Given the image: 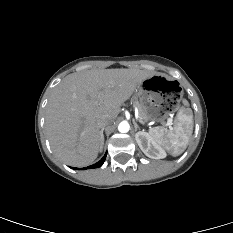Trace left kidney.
<instances>
[{"mask_svg":"<svg viewBox=\"0 0 233 233\" xmlns=\"http://www.w3.org/2000/svg\"><path fill=\"white\" fill-rule=\"evenodd\" d=\"M135 139L142 152L149 158L162 159L166 157L165 150L157 144L149 133L140 131L135 134Z\"/></svg>","mask_w":233,"mask_h":233,"instance_id":"1","label":"left kidney"}]
</instances>
